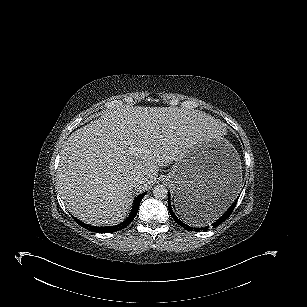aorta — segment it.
Returning <instances> with one entry per match:
<instances>
[{"label": "aorta", "instance_id": "obj_1", "mask_svg": "<svg viewBox=\"0 0 307 307\" xmlns=\"http://www.w3.org/2000/svg\"><path fill=\"white\" fill-rule=\"evenodd\" d=\"M167 188L163 185H157L153 188V196L156 199H165L167 197Z\"/></svg>", "mask_w": 307, "mask_h": 307}]
</instances>
